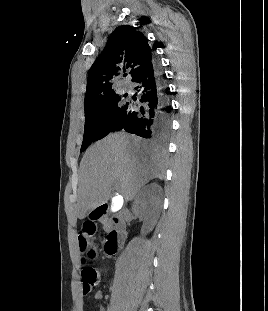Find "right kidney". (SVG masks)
Returning a JSON list of instances; mask_svg holds the SVG:
<instances>
[{
    "mask_svg": "<svg viewBox=\"0 0 268 311\" xmlns=\"http://www.w3.org/2000/svg\"><path fill=\"white\" fill-rule=\"evenodd\" d=\"M162 210V188L157 183H151L142 188L135 198L133 213L142 217L144 223L142 233L147 234L153 230Z\"/></svg>",
    "mask_w": 268,
    "mask_h": 311,
    "instance_id": "right-kidney-1",
    "label": "right kidney"
}]
</instances>
